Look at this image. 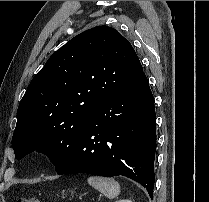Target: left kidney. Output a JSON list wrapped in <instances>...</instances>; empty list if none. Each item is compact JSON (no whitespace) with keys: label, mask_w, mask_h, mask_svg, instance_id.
Wrapping results in <instances>:
<instances>
[{"label":"left kidney","mask_w":209,"mask_h":202,"mask_svg":"<svg viewBox=\"0 0 209 202\" xmlns=\"http://www.w3.org/2000/svg\"><path fill=\"white\" fill-rule=\"evenodd\" d=\"M116 202H132L131 200H128V199H122V200H118Z\"/></svg>","instance_id":"left-kidney-1"}]
</instances>
